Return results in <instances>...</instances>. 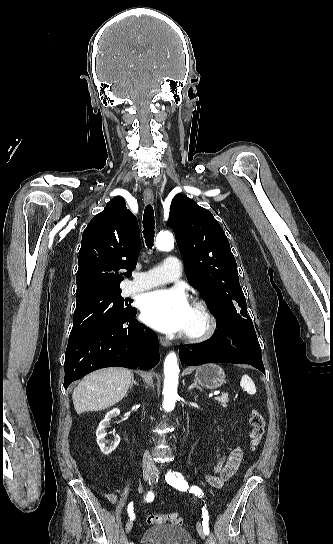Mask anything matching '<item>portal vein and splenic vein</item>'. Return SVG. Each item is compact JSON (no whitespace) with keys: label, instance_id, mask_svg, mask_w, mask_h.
<instances>
[{"label":"portal vein and splenic vein","instance_id":"portal-vein-and-splenic-vein-1","mask_svg":"<svg viewBox=\"0 0 333 544\" xmlns=\"http://www.w3.org/2000/svg\"><path fill=\"white\" fill-rule=\"evenodd\" d=\"M220 392L219 391H215L214 392V395H218Z\"/></svg>","mask_w":333,"mask_h":544}]
</instances>
